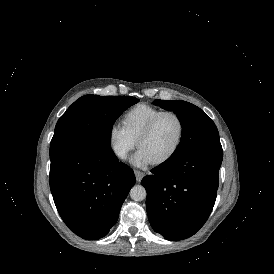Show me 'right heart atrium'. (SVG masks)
<instances>
[{
    "label": "right heart atrium",
    "mask_w": 274,
    "mask_h": 274,
    "mask_svg": "<svg viewBox=\"0 0 274 274\" xmlns=\"http://www.w3.org/2000/svg\"><path fill=\"white\" fill-rule=\"evenodd\" d=\"M108 145L119 159H125L135 147V140L118 124H111L107 132Z\"/></svg>",
    "instance_id": "1"
}]
</instances>
